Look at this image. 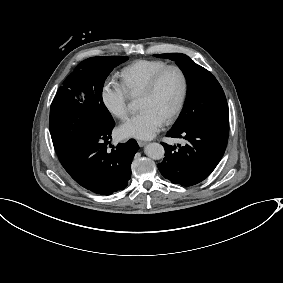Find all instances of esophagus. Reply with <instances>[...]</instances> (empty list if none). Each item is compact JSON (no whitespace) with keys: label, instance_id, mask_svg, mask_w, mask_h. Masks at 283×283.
I'll return each mask as SVG.
<instances>
[{"label":"esophagus","instance_id":"34e87169","mask_svg":"<svg viewBox=\"0 0 283 283\" xmlns=\"http://www.w3.org/2000/svg\"><path fill=\"white\" fill-rule=\"evenodd\" d=\"M137 142H138V145H139L140 147H143V146H145V145L147 144L146 141H142V140H138Z\"/></svg>","mask_w":283,"mask_h":283}]
</instances>
